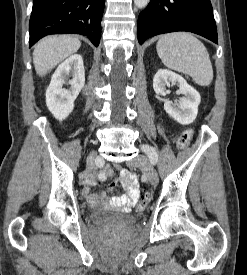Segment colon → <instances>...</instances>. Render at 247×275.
I'll list each match as a JSON object with an SVG mask.
<instances>
[{
	"label": "colon",
	"instance_id": "colon-1",
	"mask_svg": "<svg viewBox=\"0 0 247 275\" xmlns=\"http://www.w3.org/2000/svg\"><path fill=\"white\" fill-rule=\"evenodd\" d=\"M193 135H194L193 130L184 131L178 139V146L180 148H186L189 145L190 141L192 140ZM149 200H150L149 192L147 190H143L141 192L138 210L145 209V207L148 205Z\"/></svg>",
	"mask_w": 247,
	"mask_h": 275
}]
</instances>
